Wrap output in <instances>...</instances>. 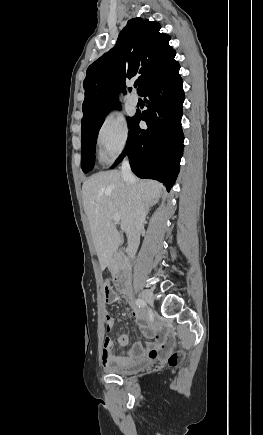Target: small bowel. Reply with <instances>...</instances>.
Returning <instances> with one entry per match:
<instances>
[{"mask_svg": "<svg viewBox=\"0 0 263 435\" xmlns=\"http://www.w3.org/2000/svg\"><path fill=\"white\" fill-rule=\"evenodd\" d=\"M116 296V300H106L107 304H112L118 300L116 292L111 288L110 281L105 285ZM132 314L141 329L145 338V346L141 342H136L131 346L129 345V336L127 334H121L117 342L122 348H127L125 353L114 354L112 350L102 349V364L103 367L108 368L113 365L133 363L142 359H157L160 352L165 348V343H156L153 340L159 341L160 334L155 330L152 318L131 305ZM106 328L112 329L114 325V319L111 315L106 314Z\"/></svg>", "mask_w": 263, "mask_h": 435, "instance_id": "1", "label": "small bowel"}]
</instances>
